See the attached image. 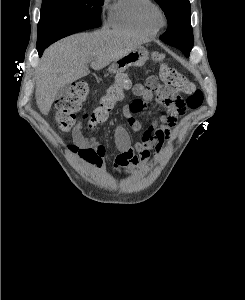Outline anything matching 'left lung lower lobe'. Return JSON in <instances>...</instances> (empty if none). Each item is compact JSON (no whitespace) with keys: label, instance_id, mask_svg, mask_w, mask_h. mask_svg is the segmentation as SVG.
Wrapping results in <instances>:
<instances>
[{"label":"left lung lower lobe","instance_id":"left-lung-lower-lobe-1","mask_svg":"<svg viewBox=\"0 0 245 300\" xmlns=\"http://www.w3.org/2000/svg\"><path fill=\"white\" fill-rule=\"evenodd\" d=\"M176 48L180 49L187 57L189 56L190 52H187L183 45H178Z\"/></svg>","mask_w":245,"mask_h":300}]
</instances>
